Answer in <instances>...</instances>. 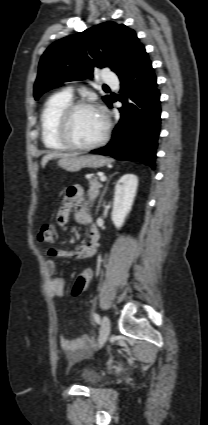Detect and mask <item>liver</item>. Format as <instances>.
I'll list each match as a JSON object with an SVG mask.
<instances>
[{
  "mask_svg": "<svg viewBox=\"0 0 208 425\" xmlns=\"http://www.w3.org/2000/svg\"><path fill=\"white\" fill-rule=\"evenodd\" d=\"M78 153H48L46 154L41 161V165L44 168L48 161L55 158H66V157H74L77 156Z\"/></svg>",
  "mask_w": 208,
  "mask_h": 425,
  "instance_id": "liver-1",
  "label": "liver"
}]
</instances>
